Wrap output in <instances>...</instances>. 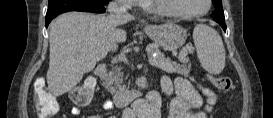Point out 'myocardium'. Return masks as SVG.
Returning <instances> with one entry per match:
<instances>
[{
    "label": "myocardium",
    "mask_w": 273,
    "mask_h": 118,
    "mask_svg": "<svg viewBox=\"0 0 273 118\" xmlns=\"http://www.w3.org/2000/svg\"><path fill=\"white\" fill-rule=\"evenodd\" d=\"M205 8L201 11L183 13L173 8L171 0H155L154 1V11L159 14H164L168 16H173L177 18L190 19L198 16L205 15L211 7V0H205Z\"/></svg>",
    "instance_id": "obj_1"
}]
</instances>
